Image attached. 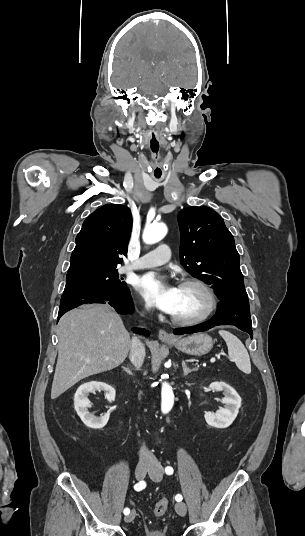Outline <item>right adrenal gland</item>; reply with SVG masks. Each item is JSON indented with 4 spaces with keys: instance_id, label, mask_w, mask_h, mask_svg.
Returning <instances> with one entry per match:
<instances>
[{
    "instance_id": "right-adrenal-gland-1",
    "label": "right adrenal gland",
    "mask_w": 305,
    "mask_h": 536,
    "mask_svg": "<svg viewBox=\"0 0 305 536\" xmlns=\"http://www.w3.org/2000/svg\"><path fill=\"white\" fill-rule=\"evenodd\" d=\"M123 370H125V372H127V374H130V376H131L132 372H131V370H129V368H123Z\"/></svg>"
}]
</instances>
